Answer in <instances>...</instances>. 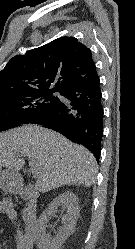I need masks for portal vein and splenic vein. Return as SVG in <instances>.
Returning a JSON list of instances; mask_svg holds the SVG:
<instances>
[{
    "mask_svg": "<svg viewBox=\"0 0 135 249\" xmlns=\"http://www.w3.org/2000/svg\"><path fill=\"white\" fill-rule=\"evenodd\" d=\"M29 166H30V172L34 176H36L37 170H38V164L35 161H32V162L29 163Z\"/></svg>",
    "mask_w": 135,
    "mask_h": 249,
    "instance_id": "portal-vein-and-splenic-vein-1",
    "label": "portal vein and splenic vein"
}]
</instances>
